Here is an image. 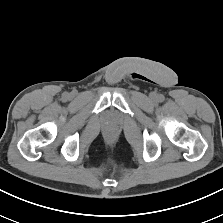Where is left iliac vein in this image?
Returning a JSON list of instances; mask_svg holds the SVG:
<instances>
[{
	"mask_svg": "<svg viewBox=\"0 0 223 223\" xmlns=\"http://www.w3.org/2000/svg\"><path fill=\"white\" fill-rule=\"evenodd\" d=\"M155 97H156V94H155V93H152V94H151V98H152V99H155Z\"/></svg>",
	"mask_w": 223,
	"mask_h": 223,
	"instance_id": "4c4485c4",
	"label": "left iliac vein"
}]
</instances>
